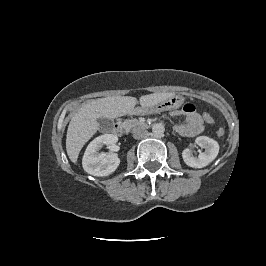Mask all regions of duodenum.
I'll use <instances>...</instances> for the list:
<instances>
[{
	"instance_id": "410a0bca",
	"label": "duodenum",
	"mask_w": 266,
	"mask_h": 266,
	"mask_svg": "<svg viewBox=\"0 0 266 266\" xmlns=\"http://www.w3.org/2000/svg\"><path fill=\"white\" fill-rule=\"evenodd\" d=\"M114 130H115L116 134L122 135L124 130H125L124 122L123 121L116 122L114 125Z\"/></svg>"
}]
</instances>
